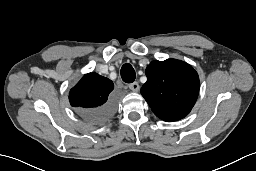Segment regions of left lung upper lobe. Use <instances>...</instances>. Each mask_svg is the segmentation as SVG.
<instances>
[{"mask_svg": "<svg viewBox=\"0 0 256 171\" xmlns=\"http://www.w3.org/2000/svg\"><path fill=\"white\" fill-rule=\"evenodd\" d=\"M146 76L141 94L157 117L177 121L190 113L199 94V77L191 65L176 59L153 61Z\"/></svg>", "mask_w": 256, "mask_h": 171, "instance_id": "obj_1", "label": "left lung upper lobe"}]
</instances>
